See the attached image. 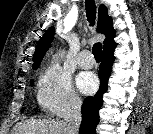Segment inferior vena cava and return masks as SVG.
<instances>
[{
	"mask_svg": "<svg viewBox=\"0 0 153 134\" xmlns=\"http://www.w3.org/2000/svg\"><path fill=\"white\" fill-rule=\"evenodd\" d=\"M81 106L82 101L80 99H75L70 103L64 115V134H78L82 120Z\"/></svg>",
	"mask_w": 153,
	"mask_h": 134,
	"instance_id": "1",
	"label": "inferior vena cava"
}]
</instances>
